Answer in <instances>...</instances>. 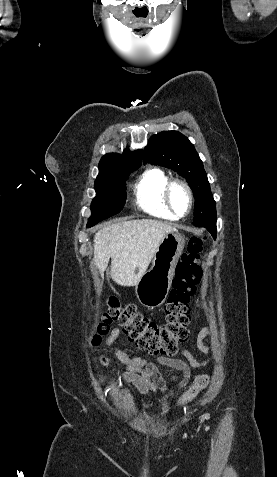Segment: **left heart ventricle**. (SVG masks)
<instances>
[{
	"instance_id": "1",
	"label": "left heart ventricle",
	"mask_w": 277,
	"mask_h": 477,
	"mask_svg": "<svg viewBox=\"0 0 277 477\" xmlns=\"http://www.w3.org/2000/svg\"><path fill=\"white\" fill-rule=\"evenodd\" d=\"M171 199L175 210L179 214H185L187 212L189 198L183 187L175 186L172 190Z\"/></svg>"
}]
</instances>
